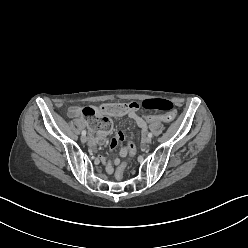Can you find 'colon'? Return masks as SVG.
I'll use <instances>...</instances> for the list:
<instances>
[{
    "mask_svg": "<svg viewBox=\"0 0 248 248\" xmlns=\"http://www.w3.org/2000/svg\"><path fill=\"white\" fill-rule=\"evenodd\" d=\"M139 107L146 110H160L166 112V114L150 115L149 113L143 114V119L141 123L144 126L157 125L160 122H170L176 113L174 104L167 99H148L138 103H116L106 105V112L113 116H122L126 111L130 109H138ZM82 115L89 119V124L91 126L92 138L96 142H102L105 140L106 136L111 132V124L107 116L98 117L96 112L91 107L82 108ZM127 153L130 157H133L136 153V147L133 141H130L127 146ZM127 167V162H122L116 170V178L123 179L124 173Z\"/></svg>",
    "mask_w": 248,
    "mask_h": 248,
    "instance_id": "colon-1",
    "label": "colon"
}]
</instances>
